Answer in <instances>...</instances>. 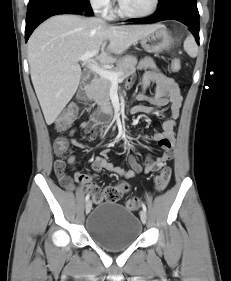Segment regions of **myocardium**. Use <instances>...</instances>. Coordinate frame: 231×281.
<instances>
[{"instance_id":"1","label":"myocardium","mask_w":231,"mask_h":281,"mask_svg":"<svg viewBox=\"0 0 231 281\" xmlns=\"http://www.w3.org/2000/svg\"><path fill=\"white\" fill-rule=\"evenodd\" d=\"M159 6H160V0H153V5L148 11L143 12V13H136V12H132V11L127 10L124 7L122 1L118 0V11H119V13L122 16L129 17V18H135V19L148 18V17L154 15L158 11Z\"/></svg>"}]
</instances>
